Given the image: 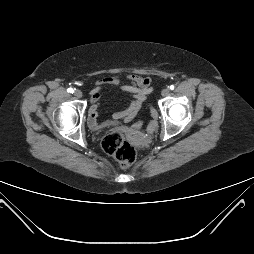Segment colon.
Instances as JSON below:
<instances>
[{
    "label": "colon",
    "mask_w": 254,
    "mask_h": 254,
    "mask_svg": "<svg viewBox=\"0 0 254 254\" xmlns=\"http://www.w3.org/2000/svg\"><path fill=\"white\" fill-rule=\"evenodd\" d=\"M102 145L104 150L115 158L121 168H129L134 163L136 150L127 141L123 130L111 131L104 138Z\"/></svg>",
    "instance_id": "obj_1"
}]
</instances>
